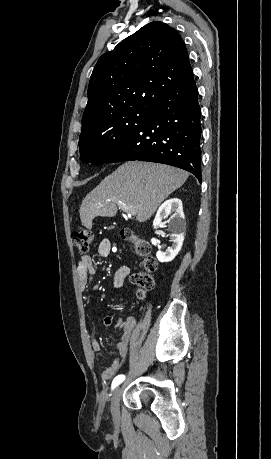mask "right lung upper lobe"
I'll use <instances>...</instances> for the list:
<instances>
[{"label":"right lung upper lobe","mask_w":271,"mask_h":459,"mask_svg":"<svg viewBox=\"0 0 271 459\" xmlns=\"http://www.w3.org/2000/svg\"><path fill=\"white\" fill-rule=\"evenodd\" d=\"M192 78L181 36L163 22H151L99 58L82 123L141 105L153 106Z\"/></svg>","instance_id":"cb5924a9"}]
</instances>
